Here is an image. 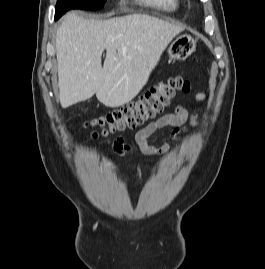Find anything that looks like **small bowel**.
I'll list each match as a JSON object with an SVG mask.
<instances>
[{"label":"small bowel","mask_w":265,"mask_h":269,"mask_svg":"<svg viewBox=\"0 0 265 269\" xmlns=\"http://www.w3.org/2000/svg\"><path fill=\"white\" fill-rule=\"evenodd\" d=\"M205 97V92H200L196 95V99L198 100H203ZM195 124L196 116L187 108L181 105H176L174 106L173 113L157 118L136 133V148L127 144L123 139H117L113 143V150L120 156L133 153L136 149L148 156H158L168 152L171 149V145L164 144L160 147L151 146L147 142L148 137H150L158 129L166 126H172V137L173 139H178L179 135L186 130L187 125ZM108 167L113 168L112 164H108Z\"/></svg>","instance_id":"c3829d8e"}]
</instances>
